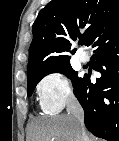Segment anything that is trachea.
Instances as JSON below:
<instances>
[{"label":"trachea","instance_id":"obj_1","mask_svg":"<svg viewBox=\"0 0 119 141\" xmlns=\"http://www.w3.org/2000/svg\"><path fill=\"white\" fill-rule=\"evenodd\" d=\"M80 44L83 45L84 44V41H81Z\"/></svg>","mask_w":119,"mask_h":141}]
</instances>
